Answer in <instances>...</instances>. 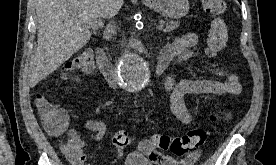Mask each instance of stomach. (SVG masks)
Wrapping results in <instances>:
<instances>
[{
    "mask_svg": "<svg viewBox=\"0 0 276 165\" xmlns=\"http://www.w3.org/2000/svg\"><path fill=\"white\" fill-rule=\"evenodd\" d=\"M144 4L165 17L179 19L189 11L188 0H143Z\"/></svg>",
    "mask_w": 276,
    "mask_h": 165,
    "instance_id": "stomach-1",
    "label": "stomach"
}]
</instances>
